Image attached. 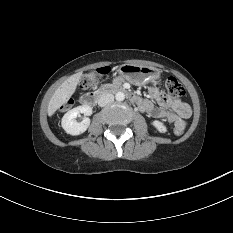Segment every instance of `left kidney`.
<instances>
[{"label": "left kidney", "instance_id": "5707ae66", "mask_svg": "<svg viewBox=\"0 0 233 233\" xmlns=\"http://www.w3.org/2000/svg\"><path fill=\"white\" fill-rule=\"evenodd\" d=\"M152 125L160 132V133H166L167 132V128L166 126L158 121V120H155L152 122Z\"/></svg>", "mask_w": 233, "mask_h": 233}]
</instances>
